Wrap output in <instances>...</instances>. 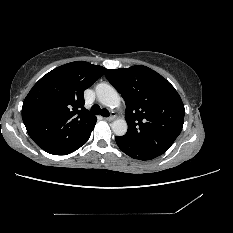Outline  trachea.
<instances>
[{"instance_id":"3493384b","label":"trachea","mask_w":233,"mask_h":233,"mask_svg":"<svg viewBox=\"0 0 233 233\" xmlns=\"http://www.w3.org/2000/svg\"><path fill=\"white\" fill-rule=\"evenodd\" d=\"M91 113L93 115H99L101 114L103 117H109L110 113L107 109H101L98 105H93L91 107Z\"/></svg>"}]
</instances>
